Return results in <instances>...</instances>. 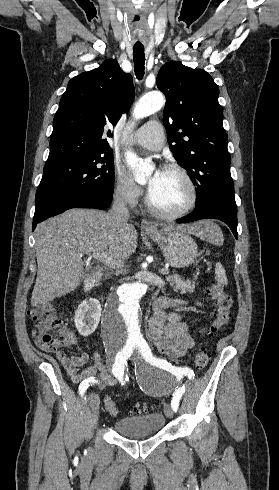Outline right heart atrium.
Returning <instances> with one entry per match:
<instances>
[{
	"instance_id": "1",
	"label": "right heart atrium",
	"mask_w": 279,
	"mask_h": 490,
	"mask_svg": "<svg viewBox=\"0 0 279 490\" xmlns=\"http://www.w3.org/2000/svg\"><path fill=\"white\" fill-rule=\"evenodd\" d=\"M113 191L120 202L130 207H135L142 197L141 189L117 166L113 170Z\"/></svg>"
}]
</instances>
